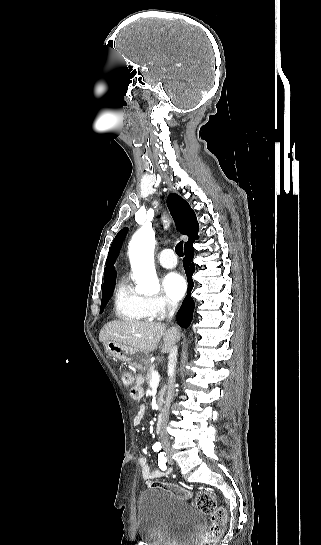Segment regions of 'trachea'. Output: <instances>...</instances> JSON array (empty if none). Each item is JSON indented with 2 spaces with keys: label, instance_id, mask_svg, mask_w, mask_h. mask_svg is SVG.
Returning <instances> with one entry per match:
<instances>
[{
  "label": "trachea",
  "instance_id": "trachea-1",
  "mask_svg": "<svg viewBox=\"0 0 321 545\" xmlns=\"http://www.w3.org/2000/svg\"><path fill=\"white\" fill-rule=\"evenodd\" d=\"M175 252L177 253V255L179 257H183L184 256V252H183V242H179L177 243L176 247H175Z\"/></svg>",
  "mask_w": 321,
  "mask_h": 545
}]
</instances>
